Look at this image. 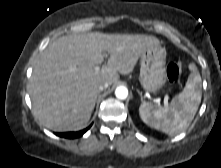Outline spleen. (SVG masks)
I'll return each instance as SVG.
<instances>
[{
	"mask_svg": "<svg viewBox=\"0 0 221 168\" xmlns=\"http://www.w3.org/2000/svg\"><path fill=\"white\" fill-rule=\"evenodd\" d=\"M191 73L182 92L176 95L169 106L157 107L143 102L139 115L148 126L170 136L183 132L192 122L201 102V76L195 64L189 65Z\"/></svg>",
	"mask_w": 221,
	"mask_h": 168,
	"instance_id": "1",
	"label": "spleen"
}]
</instances>
